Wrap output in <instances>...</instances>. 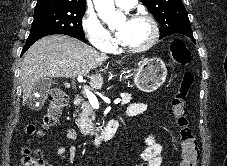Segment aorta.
<instances>
[{
  "mask_svg": "<svg viewBox=\"0 0 227 166\" xmlns=\"http://www.w3.org/2000/svg\"><path fill=\"white\" fill-rule=\"evenodd\" d=\"M93 2L100 19L108 26H113L115 23L125 20V15L116 11L114 0H93Z\"/></svg>",
  "mask_w": 227,
  "mask_h": 166,
  "instance_id": "762f6f07",
  "label": "aorta"
}]
</instances>
